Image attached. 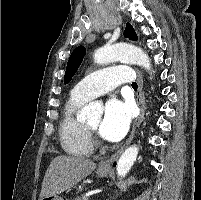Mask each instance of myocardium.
Listing matches in <instances>:
<instances>
[{
  "instance_id": "f54148a6",
  "label": "myocardium",
  "mask_w": 201,
  "mask_h": 200,
  "mask_svg": "<svg viewBox=\"0 0 201 200\" xmlns=\"http://www.w3.org/2000/svg\"><path fill=\"white\" fill-rule=\"evenodd\" d=\"M85 129H86V131H87V133L89 135L90 142H91L92 146L93 145H99L100 142H99V140L97 138L96 130L90 128L87 124H85Z\"/></svg>"
}]
</instances>
